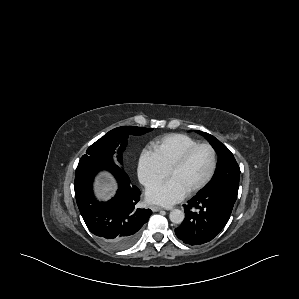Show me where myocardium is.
Masks as SVG:
<instances>
[{"label": "myocardium", "instance_id": "1", "mask_svg": "<svg viewBox=\"0 0 299 299\" xmlns=\"http://www.w3.org/2000/svg\"><path fill=\"white\" fill-rule=\"evenodd\" d=\"M200 147H207L210 150L211 155H212L211 168H210V171L207 174V176L199 184H197L196 186H194L193 188L188 190L187 194H194V193L200 191L213 178L216 168H217V153H216V150L213 147V145L208 142H202V143H197V144L189 147L182 153V155L175 161V163L171 166V168L168 171V175H169V177H171L175 171H177L178 169H180L181 167H183L185 165V163L188 161V159L193 154V152Z\"/></svg>", "mask_w": 299, "mask_h": 299}]
</instances>
